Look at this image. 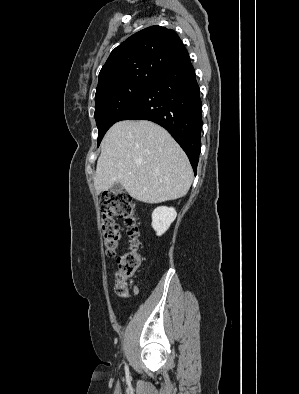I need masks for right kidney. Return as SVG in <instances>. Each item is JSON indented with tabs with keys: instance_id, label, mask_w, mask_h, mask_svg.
<instances>
[{
	"instance_id": "1",
	"label": "right kidney",
	"mask_w": 299,
	"mask_h": 394,
	"mask_svg": "<svg viewBox=\"0 0 299 394\" xmlns=\"http://www.w3.org/2000/svg\"><path fill=\"white\" fill-rule=\"evenodd\" d=\"M177 213L174 208L160 206L152 213V227L157 236L163 235L175 220Z\"/></svg>"
}]
</instances>
